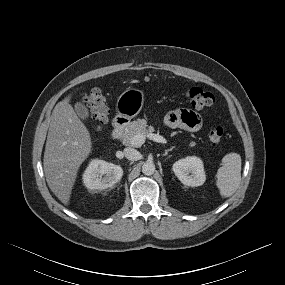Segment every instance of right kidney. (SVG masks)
I'll list each match as a JSON object with an SVG mask.
<instances>
[{
	"mask_svg": "<svg viewBox=\"0 0 285 285\" xmlns=\"http://www.w3.org/2000/svg\"><path fill=\"white\" fill-rule=\"evenodd\" d=\"M122 175L123 170L119 165L93 159L83 174V183L90 190H103L120 181Z\"/></svg>",
	"mask_w": 285,
	"mask_h": 285,
	"instance_id": "1",
	"label": "right kidney"
}]
</instances>
